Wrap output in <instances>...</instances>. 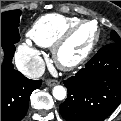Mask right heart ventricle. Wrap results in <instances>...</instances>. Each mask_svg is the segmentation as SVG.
<instances>
[{
	"label": "right heart ventricle",
	"mask_w": 121,
	"mask_h": 121,
	"mask_svg": "<svg viewBox=\"0 0 121 121\" xmlns=\"http://www.w3.org/2000/svg\"><path fill=\"white\" fill-rule=\"evenodd\" d=\"M79 20L76 17L56 13L46 14L33 23L29 30V36L37 45L51 47L63 31Z\"/></svg>",
	"instance_id": "obj_1"
}]
</instances>
